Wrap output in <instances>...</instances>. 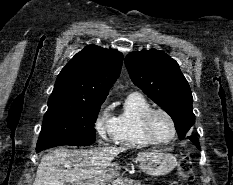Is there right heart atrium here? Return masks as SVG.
Segmentation results:
<instances>
[{"instance_id": "obj_1", "label": "right heart atrium", "mask_w": 233, "mask_h": 185, "mask_svg": "<svg viewBox=\"0 0 233 185\" xmlns=\"http://www.w3.org/2000/svg\"><path fill=\"white\" fill-rule=\"evenodd\" d=\"M93 127L100 140L109 141L114 138V117L110 114L105 104H102L98 108L93 121Z\"/></svg>"}]
</instances>
